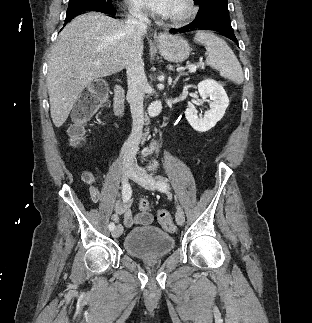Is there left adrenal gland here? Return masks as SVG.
I'll list each match as a JSON object with an SVG mask.
<instances>
[{"label":"left adrenal gland","instance_id":"obj_1","mask_svg":"<svg viewBox=\"0 0 312 323\" xmlns=\"http://www.w3.org/2000/svg\"><path fill=\"white\" fill-rule=\"evenodd\" d=\"M180 76H182V74H179V76H177V78H175V80H174L173 84H171V82H169V84H171L172 88H175V86H176V84H177V82H178V80H179Z\"/></svg>","mask_w":312,"mask_h":323}]
</instances>
